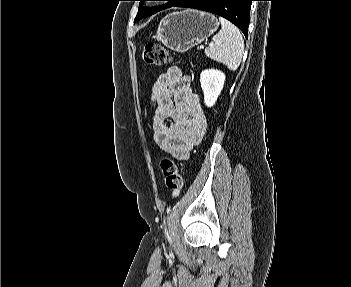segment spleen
Instances as JSON below:
<instances>
[{"mask_svg": "<svg viewBox=\"0 0 351 287\" xmlns=\"http://www.w3.org/2000/svg\"><path fill=\"white\" fill-rule=\"evenodd\" d=\"M221 30L214 35L212 44L205 49L209 58L221 62L235 71L242 60L244 40L239 29L223 17L219 18Z\"/></svg>", "mask_w": 351, "mask_h": 287, "instance_id": "3e777b00", "label": "spleen"}]
</instances>
